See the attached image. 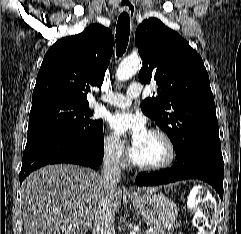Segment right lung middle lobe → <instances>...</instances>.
I'll return each mask as SVG.
<instances>
[{
    "instance_id": "dd1d6c3e",
    "label": "right lung middle lobe",
    "mask_w": 241,
    "mask_h": 234,
    "mask_svg": "<svg viewBox=\"0 0 241 234\" xmlns=\"http://www.w3.org/2000/svg\"><path fill=\"white\" fill-rule=\"evenodd\" d=\"M91 116L88 104L50 101L32 105L28 134L63 130L90 139L103 129V121L93 120Z\"/></svg>"
}]
</instances>
